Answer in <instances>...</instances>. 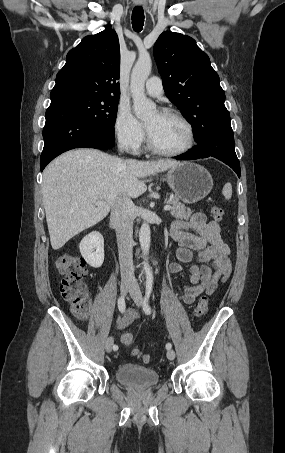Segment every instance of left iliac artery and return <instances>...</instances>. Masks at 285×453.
<instances>
[{"label": "left iliac artery", "instance_id": "left-iliac-artery-1", "mask_svg": "<svg viewBox=\"0 0 285 453\" xmlns=\"http://www.w3.org/2000/svg\"><path fill=\"white\" fill-rule=\"evenodd\" d=\"M153 287V275L151 272H147V280H146V290H145V297L143 302V310L145 314L149 315L151 313V307L149 306V298L151 296ZM172 348L171 343L166 344V349L169 350Z\"/></svg>", "mask_w": 285, "mask_h": 453}]
</instances>
